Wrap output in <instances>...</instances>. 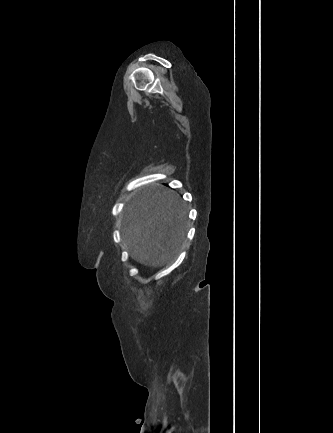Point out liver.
<instances>
[{"mask_svg": "<svg viewBox=\"0 0 333 433\" xmlns=\"http://www.w3.org/2000/svg\"><path fill=\"white\" fill-rule=\"evenodd\" d=\"M186 219L174 192L159 185L138 192L125 207L121 229L131 258L152 267L174 261L185 240Z\"/></svg>", "mask_w": 333, "mask_h": 433, "instance_id": "liver-1", "label": "liver"}]
</instances>
